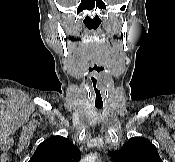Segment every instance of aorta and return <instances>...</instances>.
<instances>
[{"mask_svg":"<svg viewBox=\"0 0 175 162\" xmlns=\"http://www.w3.org/2000/svg\"><path fill=\"white\" fill-rule=\"evenodd\" d=\"M81 162H96V155L95 154H90L87 155Z\"/></svg>","mask_w":175,"mask_h":162,"instance_id":"1","label":"aorta"}]
</instances>
